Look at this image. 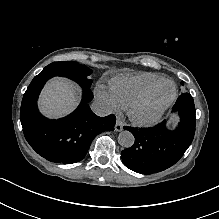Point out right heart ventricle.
Masks as SVG:
<instances>
[{
    "instance_id": "obj_1",
    "label": "right heart ventricle",
    "mask_w": 219,
    "mask_h": 219,
    "mask_svg": "<svg viewBox=\"0 0 219 219\" xmlns=\"http://www.w3.org/2000/svg\"><path fill=\"white\" fill-rule=\"evenodd\" d=\"M160 79L159 75L153 73L122 76L111 81L110 92L119 105L128 108Z\"/></svg>"
}]
</instances>
